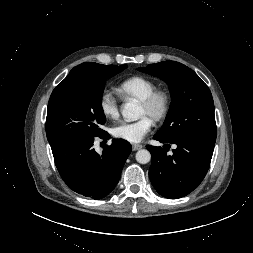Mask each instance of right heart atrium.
<instances>
[{
	"label": "right heart atrium",
	"instance_id": "1",
	"mask_svg": "<svg viewBox=\"0 0 253 253\" xmlns=\"http://www.w3.org/2000/svg\"><path fill=\"white\" fill-rule=\"evenodd\" d=\"M98 106L106 118L114 119L119 115V102L110 90H103L99 96Z\"/></svg>",
	"mask_w": 253,
	"mask_h": 253
}]
</instances>
